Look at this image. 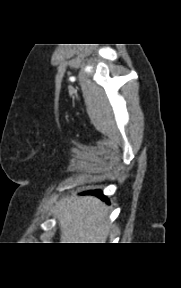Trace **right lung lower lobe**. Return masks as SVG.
Returning <instances> with one entry per match:
<instances>
[{
  "mask_svg": "<svg viewBox=\"0 0 181 288\" xmlns=\"http://www.w3.org/2000/svg\"><path fill=\"white\" fill-rule=\"evenodd\" d=\"M85 194L96 195V196L100 197L102 200H107L106 197L102 194V191H100V190L89 191V192H86Z\"/></svg>",
  "mask_w": 181,
  "mask_h": 288,
  "instance_id": "98d812e1",
  "label": "right lung lower lobe"
}]
</instances>
